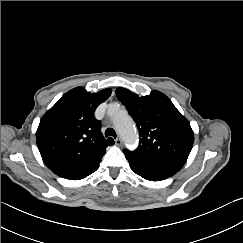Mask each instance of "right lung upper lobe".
<instances>
[{
	"mask_svg": "<svg viewBox=\"0 0 243 243\" xmlns=\"http://www.w3.org/2000/svg\"><path fill=\"white\" fill-rule=\"evenodd\" d=\"M110 95L111 89L91 94L76 87L42 117L36 142L44 163L56 175L66 178L99 165L106 147L114 144L103 137L94 117L97 106Z\"/></svg>",
	"mask_w": 243,
	"mask_h": 243,
	"instance_id": "cb5924a9",
	"label": "right lung upper lobe"
}]
</instances>
